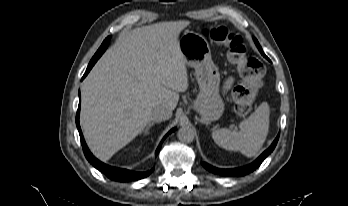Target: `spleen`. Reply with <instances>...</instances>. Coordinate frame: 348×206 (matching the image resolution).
Wrapping results in <instances>:
<instances>
[{"label": "spleen", "mask_w": 348, "mask_h": 206, "mask_svg": "<svg viewBox=\"0 0 348 206\" xmlns=\"http://www.w3.org/2000/svg\"><path fill=\"white\" fill-rule=\"evenodd\" d=\"M239 131L228 128L212 132L214 142L229 151L254 157L262 148L269 131V107L262 103L248 118L240 122Z\"/></svg>", "instance_id": "spleen-1"}]
</instances>
